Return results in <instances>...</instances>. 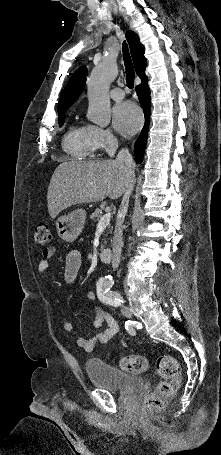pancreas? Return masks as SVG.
I'll return each instance as SVG.
<instances>
[{
  "instance_id": "obj_1",
  "label": "pancreas",
  "mask_w": 221,
  "mask_h": 455,
  "mask_svg": "<svg viewBox=\"0 0 221 455\" xmlns=\"http://www.w3.org/2000/svg\"><path fill=\"white\" fill-rule=\"evenodd\" d=\"M103 215V209H96L91 215L90 218L94 221H98ZM111 232V230L109 231Z\"/></svg>"
}]
</instances>
